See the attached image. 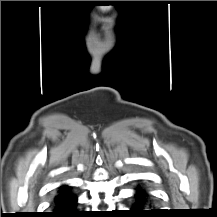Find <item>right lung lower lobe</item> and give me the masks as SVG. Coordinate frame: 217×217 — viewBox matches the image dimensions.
I'll return each mask as SVG.
<instances>
[{"mask_svg": "<svg viewBox=\"0 0 217 217\" xmlns=\"http://www.w3.org/2000/svg\"><path fill=\"white\" fill-rule=\"evenodd\" d=\"M52 212L43 217H85L82 211H77V197L70 188L58 191L52 202Z\"/></svg>", "mask_w": 217, "mask_h": 217, "instance_id": "right-lung-lower-lobe-1", "label": "right lung lower lobe"}]
</instances>
